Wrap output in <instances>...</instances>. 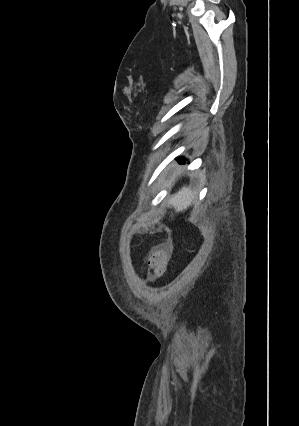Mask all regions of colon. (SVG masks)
Returning a JSON list of instances; mask_svg holds the SVG:
<instances>
[{
  "label": "colon",
  "instance_id": "5ec220e1",
  "mask_svg": "<svg viewBox=\"0 0 299 426\" xmlns=\"http://www.w3.org/2000/svg\"><path fill=\"white\" fill-rule=\"evenodd\" d=\"M167 246L165 244L154 247L150 252L149 266L154 279L164 275L167 267Z\"/></svg>",
  "mask_w": 299,
  "mask_h": 426
}]
</instances>
